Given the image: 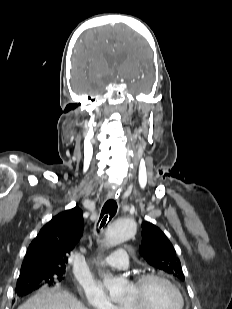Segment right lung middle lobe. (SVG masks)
Listing matches in <instances>:
<instances>
[{
	"label": "right lung middle lobe",
	"instance_id": "1",
	"mask_svg": "<svg viewBox=\"0 0 232 309\" xmlns=\"http://www.w3.org/2000/svg\"><path fill=\"white\" fill-rule=\"evenodd\" d=\"M65 271L43 270V271H22L17 281V287L24 285L51 286L60 283L64 279Z\"/></svg>",
	"mask_w": 232,
	"mask_h": 309
}]
</instances>
